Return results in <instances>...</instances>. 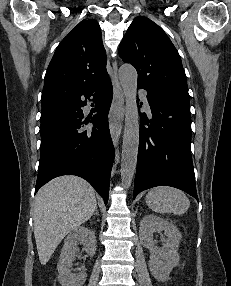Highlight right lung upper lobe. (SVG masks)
I'll return each mask as SVG.
<instances>
[{"label":"right lung upper lobe","instance_id":"right-lung-upper-lobe-1","mask_svg":"<svg viewBox=\"0 0 231 286\" xmlns=\"http://www.w3.org/2000/svg\"><path fill=\"white\" fill-rule=\"evenodd\" d=\"M107 56L97 21H81L58 45L48 66L42 109L63 106L84 90L107 81Z\"/></svg>","mask_w":231,"mask_h":286}]
</instances>
